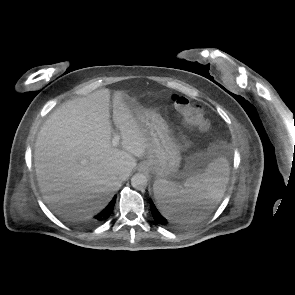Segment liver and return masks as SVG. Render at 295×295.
<instances>
[{"mask_svg":"<svg viewBox=\"0 0 295 295\" xmlns=\"http://www.w3.org/2000/svg\"><path fill=\"white\" fill-rule=\"evenodd\" d=\"M110 91L97 90L64 103L41 127L34 166L43 199L64 217L85 219L100 212L142 158L149 141L123 91L113 95V121L121 148L113 146ZM64 207L66 210H62Z\"/></svg>","mask_w":295,"mask_h":295,"instance_id":"1","label":"liver"}]
</instances>
